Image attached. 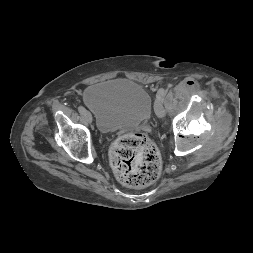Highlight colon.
Wrapping results in <instances>:
<instances>
[{
	"label": "colon",
	"mask_w": 253,
	"mask_h": 253,
	"mask_svg": "<svg viewBox=\"0 0 253 253\" xmlns=\"http://www.w3.org/2000/svg\"><path fill=\"white\" fill-rule=\"evenodd\" d=\"M110 161L117 179L128 187L148 186L157 180L161 172L157 147L140 133L119 137L111 148Z\"/></svg>",
	"instance_id": "colon-1"
}]
</instances>
